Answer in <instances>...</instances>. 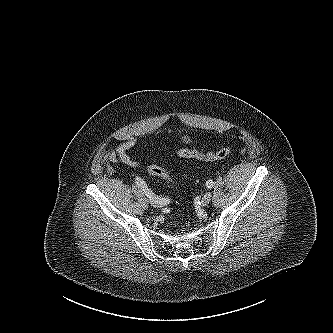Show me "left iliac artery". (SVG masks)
<instances>
[{
    "instance_id": "44dca946",
    "label": "left iliac artery",
    "mask_w": 333,
    "mask_h": 333,
    "mask_svg": "<svg viewBox=\"0 0 333 333\" xmlns=\"http://www.w3.org/2000/svg\"><path fill=\"white\" fill-rule=\"evenodd\" d=\"M206 186H207V188H212L213 186H214V182L212 181V180H208L207 182H206Z\"/></svg>"
}]
</instances>
